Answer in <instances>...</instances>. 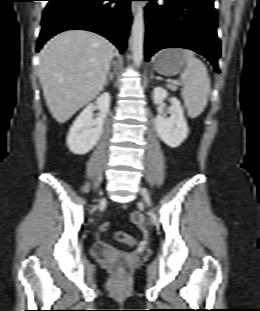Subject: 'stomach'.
<instances>
[{
	"label": "stomach",
	"mask_w": 260,
	"mask_h": 311,
	"mask_svg": "<svg viewBox=\"0 0 260 311\" xmlns=\"http://www.w3.org/2000/svg\"><path fill=\"white\" fill-rule=\"evenodd\" d=\"M153 69L161 75L173 76L180 73L187 61L183 55L182 49L171 48L160 51L154 57Z\"/></svg>",
	"instance_id": "stomach-1"
}]
</instances>
